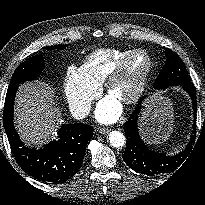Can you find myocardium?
I'll list each match as a JSON object with an SVG mask.
<instances>
[{
  "mask_svg": "<svg viewBox=\"0 0 205 205\" xmlns=\"http://www.w3.org/2000/svg\"><path fill=\"white\" fill-rule=\"evenodd\" d=\"M137 54H144L147 57L148 63L133 92L127 98L120 100L123 105H132L143 95L153 69V59L150 53L144 49L131 50L116 64L103 83L104 92L110 95L113 85L123 76L129 61Z\"/></svg>",
  "mask_w": 205,
  "mask_h": 205,
  "instance_id": "f54148a6",
  "label": "myocardium"
}]
</instances>
